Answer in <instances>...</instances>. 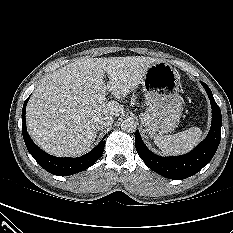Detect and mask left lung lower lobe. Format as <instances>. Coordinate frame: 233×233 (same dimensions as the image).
I'll list each match as a JSON object with an SVG mask.
<instances>
[{"label": "left lung lower lobe", "mask_w": 233, "mask_h": 233, "mask_svg": "<svg viewBox=\"0 0 233 233\" xmlns=\"http://www.w3.org/2000/svg\"><path fill=\"white\" fill-rule=\"evenodd\" d=\"M210 99L212 125L207 137L191 152L175 157H161L152 153L143 143L138 131L135 146L140 158L154 172L174 180H182L199 172L213 158L221 139V110L213 98L210 88L201 82Z\"/></svg>", "instance_id": "obj_1"}]
</instances>
